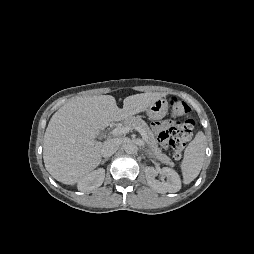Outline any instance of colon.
Returning <instances> with one entry per match:
<instances>
[{
  "label": "colon",
  "instance_id": "1",
  "mask_svg": "<svg viewBox=\"0 0 254 254\" xmlns=\"http://www.w3.org/2000/svg\"><path fill=\"white\" fill-rule=\"evenodd\" d=\"M169 105L174 115L184 116L185 120L170 121L169 125L159 132V139L172 148L175 159H180L184 148L192 139L196 122L191 108L185 102L176 97H170Z\"/></svg>",
  "mask_w": 254,
  "mask_h": 254
}]
</instances>
